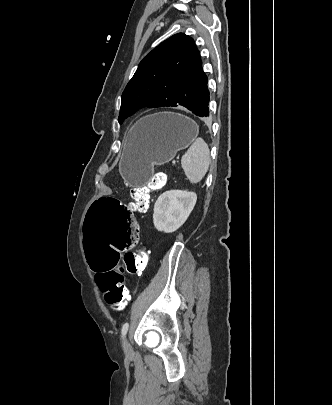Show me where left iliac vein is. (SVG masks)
<instances>
[{"label": "left iliac vein", "instance_id": "1", "mask_svg": "<svg viewBox=\"0 0 332 405\" xmlns=\"http://www.w3.org/2000/svg\"><path fill=\"white\" fill-rule=\"evenodd\" d=\"M124 353L127 357H130L133 355V349L130 343L128 342L127 339L124 341Z\"/></svg>", "mask_w": 332, "mask_h": 405}]
</instances>
